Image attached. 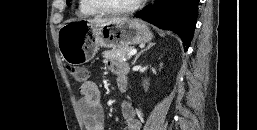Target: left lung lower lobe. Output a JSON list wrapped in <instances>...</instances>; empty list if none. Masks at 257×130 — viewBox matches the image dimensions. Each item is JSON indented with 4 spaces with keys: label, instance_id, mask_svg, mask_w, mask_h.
<instances>
[{
    "label": "left lung lower lobe",
    "instance_id": "left-lung-lower-lobe-1",
    "mask_svg": "<svg viewBox=\"0 0 257 130\" xmlns=\"http://www.w3.org/2000/svg\"><path fill=\"white\" fill-rule=\"evenodd\" d=\"M199 0H157L153 6L137 12L141 18L159 28L171 30L180 36L187 51L198 16Z\"/></svg>",
    "mask_w": 257,
    "mask_h": 130
}]
</instances>
